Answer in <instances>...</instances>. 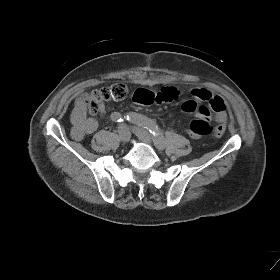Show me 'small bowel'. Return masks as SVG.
<instances>
[{"mask_svg":"<svg viewBox=\"0 0 280 280\" xmlns=\"http://www.w3.org/2000/svg\"><path fill=\"white\" fill-rule=\"evenodd\" d=\"M179 94V90L175 87H164L156 92L139 88L133 93L132 98L136 103L151 105L172 102L179 97ZM182 110L194 115L197 119L207 121L213 119L218 124V127L225 129L227 105L221 97L212 94L206 89L192 90L191 98L183 102ZM99 111L101 114L105 112L103 104L99 105ZM72 124V137L78 141L95 132L98 127L97 121L94 118L87 117L86 109L79 104H76L73 110ZM187 132L191 137H197L189 131Z\"/></svg>","mask_w":280,"mask_h":280,"instance_id":"small-bowel-1","label":"small bowel"}]
</instances>
